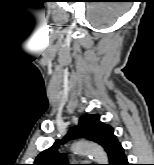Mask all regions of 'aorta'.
<instances>
[{
	"mask_svg": "<svg viewBox=\"0 0 154 165\" xmlns=\"http://www.w3.org/2000/svg\"><path fill=\"white\" fill-rule=\"evenodd\" d=\"M71 149L75 154L91 156L97 164H108V156L98 144L88 141H78L72 145Z\"/></svg>",
	"mask_w": 154,
	"mask_h": 165,
	"instance_id": "obj_1",
	"label": "aorta"
}]
</instances>
